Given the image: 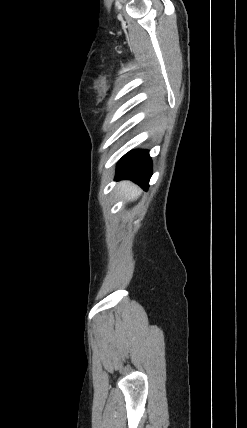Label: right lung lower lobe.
Segmentation results:
<instances>
[{
	"instance_id": "right-lung-lower-lobe-1",
	"label": "right lung lower lobe",
	"mask_w": 247,
	"mask_h": 428,
	"mask_svg": "<svg viewBox=\"0 0 247 428\" xmlns=\"http://www.w3.org/2000/svg\"><path fill=\"white\" fill-rule=\"evenodd\" d=\"M151 175L152 163L148 151L134 150L119 162L115 179H130L147 190Z\"/></svg>"
}]
</instances>
